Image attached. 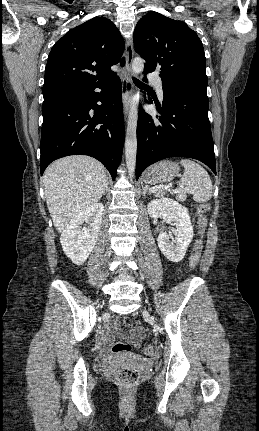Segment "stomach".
<instances>
[{"label":"stomach","instance_id":"0dacf381","mask_svg":"<svg viewBox=\"0 0 259 431\" xmlns=\"http://www.w3.org/2000/svg\"><path fill=\"white\" fill-rule=\"evenodd\" d=\"M179 172L177 163L164 160L149 167L144 173L143 180L147 184L155 185L168 182Z\"/></svg>","mask_w":259,"mask_h":431}]
</instances>
